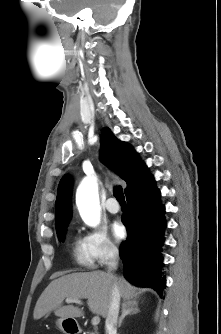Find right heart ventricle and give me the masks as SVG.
Here are the masks:
<instances>
[{"label":"right heart ventricle","instance_id":"right-heart-ventricle-1","mask_svg":"<svg viewBox=\"0 0 221 334\" xmlns=\"http://www.w3.org/2000/svg\"><path fill=\"white\" fill-rule=\"evenodd\" d=\"M72 256L76 264L82 267H93V260L83 238L78 236L74 237L72 242Z\"/></svg>","mask_w":221,"mask_h":334}]
</instances>
